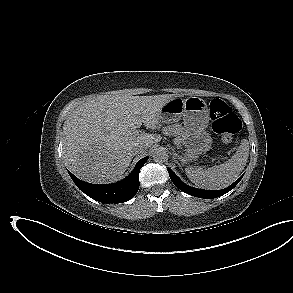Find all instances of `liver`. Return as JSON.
<instances>
[{
	"mask_svg": "<svg viewBox=\"0 0 293 293\" xmlns=\"http://www.w3.org/2000/svg\"><path fill=\"white\" fill-rule=\"evenodd\" d=\"M180 94L155 96L98 95L80 104L63 124V157L78 178L95 184L117 181L126 171L137 145L144 153L161 140L137 131L142 123L160 126V112Z\"/></svg>",
	"mask_w": 293,
	"mask_h": 293,
	"instance_id": "obj_1",
	"label": "liver"
}]
</instances>
